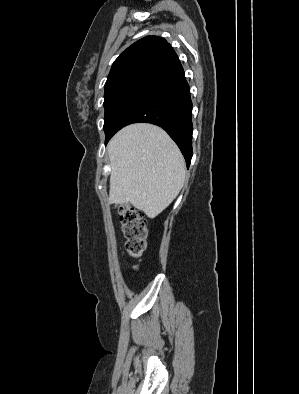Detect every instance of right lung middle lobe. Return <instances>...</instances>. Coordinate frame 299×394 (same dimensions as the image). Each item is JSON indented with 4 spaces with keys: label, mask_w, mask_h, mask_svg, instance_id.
<instances>
[{
    "label": "right lung middle lobe",
    "mask_w": 299,
    "mask_h": 394,
    "mask_svg": "<svg viewBox=\"0 0 299 394\" xmlns=\"http://www.w3.org/2000/svg\"><path fill=\"white\" fill-rule=\"evenodd\" d=\"M149 86L141 84H128L115 87L104 93V131L106 139L110 136L117 122L128 107ZM105 139V140H106Z\"/></svg>",
    "instance_id": "obj_1"
}]
</instances>
